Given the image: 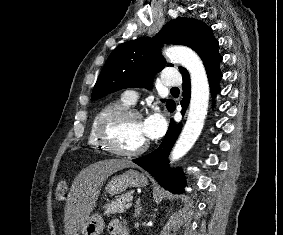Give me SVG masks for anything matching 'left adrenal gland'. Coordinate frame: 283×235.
Listing matches in <instances>:
<instances>
[{
    "label": "left adrenal gland",
    "mask_w": 283,
    "mask_h": 235,
    "mask_svg": "<svg viewBox=\"0 0 283 235\" xmlns=\"http://www.w3.org/2000/svg\"><path fill=\"white\" fill-rule=\"evenodd\" d=\"M142 211V206L140 204V198L137 199L136 201V205H135V214H134V217H137L140 215Z\"/></svg>",
    "instance_id": "1"
}]
</instances>
